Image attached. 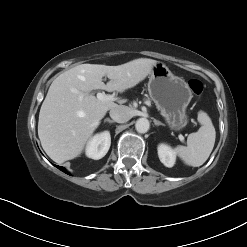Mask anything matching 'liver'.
<instances>
[{"label":"liver","instance_id":"6515ba94","mask_svg":"<svg viewBox=\"0 0 247 247\" xmlns=\"http://www.w3.org/2000/svg\"><path fill=\"white\" fill-rule=\"evenodd\" d=\"M156 63L140 58L118 66L81 64L60 74L39 113L38 136L46 154L57 163L78 157L107 111L118 106L98 100L92 90L124 92L143 81Z\"/></svg>","mask_w":247,"mask_h":247}]
</instances>
